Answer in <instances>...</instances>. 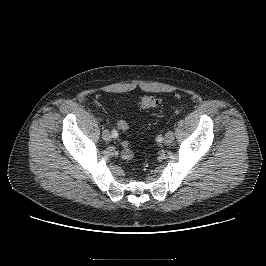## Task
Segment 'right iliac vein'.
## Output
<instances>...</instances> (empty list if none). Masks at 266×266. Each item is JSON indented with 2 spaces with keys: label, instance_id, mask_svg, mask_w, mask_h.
Masks as SVG:
<instances>
[{
  "label": "right iliac vein",
  "instance_id": "obj_1",
  "mask_svg": "<svg viewBox=\"0 0 266 266\" xmlns=\"http://www.w3.org/2000/svg\"><path fill=\"white\" fill-rule=\"evenodd\" d=\"M102 137H103V139L106 140V141H110V140H111V135H110V133H109L108 130H104V131H103V133H102Z\"/></svg>",
  "mask_w": 266,
  "mask_h": 266
}]
</instances>
